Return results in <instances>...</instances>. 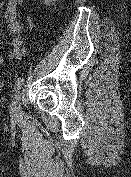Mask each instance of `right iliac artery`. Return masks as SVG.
Wrapping results in <instances>:
<instances>
[{"label":"right iliac artery","mask_w":131,"mask_h":177,"mask_svg":"<svg viewBox=\"0 0 131 177\" xmlns=\"http://www.w3.org/2000/svg\"><path fill=\"white\" fill-rule=\"evenodd\" d=\"M23 81H24V79L22 77H20L16 80L15 87H14V90L16 93H18L19 90L21 89V87L23 85Z\"/></svg>","instance_id":"right-iliac-artery-1"}]
</instances>
